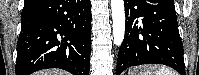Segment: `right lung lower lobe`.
Returning a JSON list of instances; mask_svg holds the SVG:
<instances>
[{"label": "right lung lower lobe", "instance_id": "right-lung-lower-lobe-1", "mask_svg": "<svg viewBox=\"0 0 199 75\" xmlns=\"http://www.w3.org/2000/svg\"><path fill=\"white\" fill-rule=\"evenodd\" d=\"M90 0H24L16 75L46 68L89 75Z\"/></svg>", "mask_w": 199, "mask_h": 75}]
</instances>
